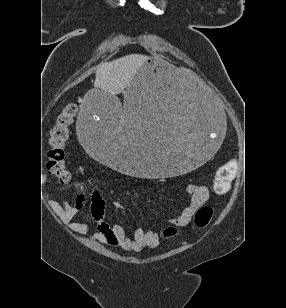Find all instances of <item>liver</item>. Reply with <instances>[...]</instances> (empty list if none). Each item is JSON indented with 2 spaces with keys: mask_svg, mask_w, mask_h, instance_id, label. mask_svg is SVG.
I'll list each match as a JSON object with an SVG mask.
<instances>
[{
  "mask_svg": "<svg viewBox=\"0 0 286 308\" xmlns=\"http://www.w3.org/2000/svg\"><path fill=\"white\" fill-rule=\"evenodd\" d=\"M147 56L131 54L119 59L105 62L97 67L95 88L102 93L115 96L124 92L137 70L146 62ZM123 115L122 124L125 122Z\"/></svg>",
  "mask_w": 286,
  "mask_h": 308,
  "instance_id": "liver-1",
  "label": "liver"
}]
</instances>
